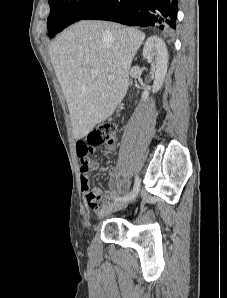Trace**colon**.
I'll use <instances>...</instances> for the list:
<instances>
[{
  "label": "colon",
  "instance_id": "colon-1",
  "mask_svg": "<svg viewBox=\"0 0 227 298\" xmlns=\"http://www.w3.org/2000/svg\"><path fill=\"white\" fill-rule=\"evenodd\" d=\"M87 142H89V146L116 144L118 142V134L116 127L109 123H105L98 126L89 133L87 137ZM84 187L87 189L85 195L86 200L90 204H95L97 201V197L94 193L88 190L87 181L84 182Z\"/></svg>",
  "mask_w": 227,
  "mask_h": 298
}]
</instances>
